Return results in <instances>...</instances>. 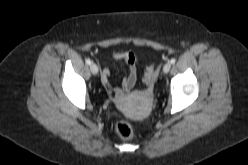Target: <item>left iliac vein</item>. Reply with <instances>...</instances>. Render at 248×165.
I'll list each match as a JSON object with an SVG mask.
<instances>
[{"label":"left iliac vein","mask_w":248,"mask_h":165,"mask_svg":"<svg viewBox=\"0 0 248 165\" xmlns=\"http://www.w3.org/2000/svg\"><path fill=\"white\" fill-rule=\"evenodd\" d=\"M171 68V64L170 63H166L163 67V72L164 73H168L170 71Z\"/></svg>","instance_id":"4c4485c4"}]
</instances>
